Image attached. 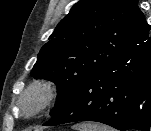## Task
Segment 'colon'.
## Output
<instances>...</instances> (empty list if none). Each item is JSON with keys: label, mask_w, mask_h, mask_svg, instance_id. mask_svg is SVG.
<instances>
[{"label": "colon", "mask_w": 151, "mask_h": 131, "mask_svg": "<svg viewBox=\"0 0 151 131\" xmlns=\"http://www.w3.org/2000/svg\"><path fill=\"white\" fill-rule=\"evenodd\" d=\"M27 131H40V130L37 129V128H31V129H29V130H27Z\"/></svg>", "instance_id": "obj_1"}]
</instances>
